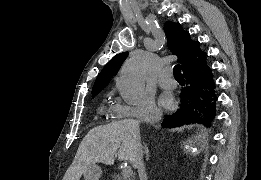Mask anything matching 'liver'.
<instances>
[{
	"mask_svg": "<svg viewBox=\"0 0 261 180\" xmlns=\"http://www.w3.org/2000/svg\"><path fill=\"white\" fill-rule=\"evenodd\" d=\"M140 148L141 138L137 120H115L106 126L92 128L82 140L69 168V180H80L85 170L98 162L112 166L115 156L121 162L131 164Z\"/></svg>",
	"mask_w": 261,
	"mask_h": 180,
	"instance_id": "1",
	"label": "liver"
}]
</instances>
